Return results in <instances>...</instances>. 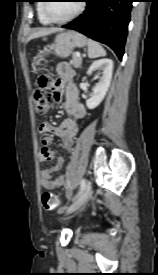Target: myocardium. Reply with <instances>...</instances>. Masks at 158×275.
I'll return each mask as SVG.
<instances>
[{"label": "myocardium", "mask_w": 158, "mask_h": 275, "mask_svg": "<svg viewBox=\"0 0 158 275\" xmlns=\"http://www.w3.org/2000/svg\"><path fill=\"white\" fill-rule=\"evenodd\" d=\"M47 2H50V1H45V3H43L42 9H43V13H44L45 17L51 23L62 24V23H66L68 21H71L74 18H76L77 16H79L85 9L84 0H80L78 8L75 10V12L73 14H71L70 16H68L66 18H63V19H57V18H54V17L49 15V12H48V4L49 3H47Z\"/></svg>", "instance_id": "myocardium-1"}]
</instances>
